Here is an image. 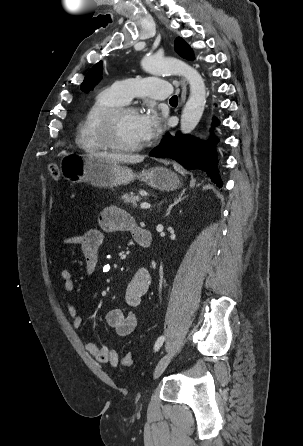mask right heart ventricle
<instances>
[{
  "instance_id": "right-heart-ventricle-1",
  "label": "right heart ventricle",
  "mask_w": 303,
  "mask_h": 446,
  "mask_svg": "<svg viewBox=\"0 0 303 446\" xmlns=\"http://www.w3.org/2000/svg\"><path fill=\"white\" fill-rule=\"evenodd\" d=\"M113 87L100 91L89 105L83 119L78 125L76 144L86 151L104 150L106 147L97 134V126L101 115L110 108L123 105Z\"/></svg>"
}]
</instances>
